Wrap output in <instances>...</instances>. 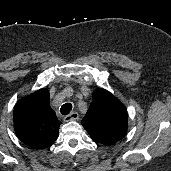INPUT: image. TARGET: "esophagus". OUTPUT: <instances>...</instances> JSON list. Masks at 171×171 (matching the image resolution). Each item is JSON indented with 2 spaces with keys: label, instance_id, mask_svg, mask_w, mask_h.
I'll return each instance as SVG.
<instances>
[{
  "label": "esophagus",
  "instance_id": "obj_1",
  "mask_svg": "<svg viewBox=\"0 0 171 171\" xmlns=\"http://www.w3.org/2000/svg\"><path fill=\"white\" fill-rule=\"evenodd\" d=\"M78 118H79L78 113L77 112H72L69 115L64 117V121L68 122V121H71V120H77Z\"/></svg>",
  "mask_w": 171,
  "mask_h": 171
}]
</instances>
